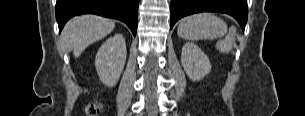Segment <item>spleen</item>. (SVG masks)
<instances>
[{
  "label": "spleen",
  "mask_w": 305,
  "mask_h": 116,
  "mask_svg": "<svg viewBox=\"0 0 305 116\" xmlns=\"http://www.w3.org/2000/svg\"><path fill=\"white\" fill-rule=\"evenodd\" d=\"M227 33L226 23L211 13H198L180 20L177 34L180 38L197 41L221 38ZM221 49L227 48L226 41L219 43Z\"/></svg>",
  "instance_id": "spleen-1"
}]
</instances>
